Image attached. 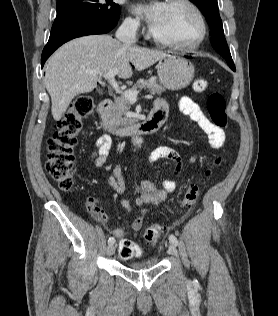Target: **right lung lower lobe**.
Returning a JSON list of instances; mask_svg holds the SVG:
<instances>
[{
	"instance_id": "1",
	"label": "right lung lower lobe",
	"mask_w": 278,
	"mask_h": 316,
	"mask_svg": "<svg viewBox=\"0 0 278 316\" xmlns=\"http://www.w3.org/2000/svg\"><path fill=\"white\" fill-rule=\"evenodd\" d=\"M118 20H92L77 23L51 31L49 41L43 49L41 66H44L48 57L62 44L80 36L104 34L111 31Z\"/></svg>"
}]
</instances>
